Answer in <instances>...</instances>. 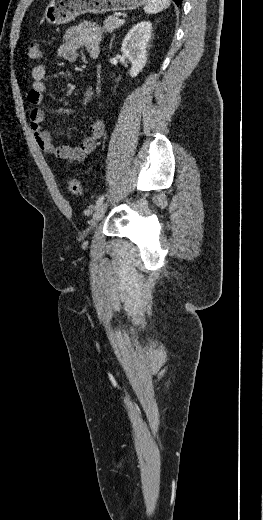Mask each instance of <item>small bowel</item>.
Here are the masks:
<instances>
[{
	"label": "small bowel",
	"mask_w": 263,
	"mask_h": 520,
	"mask_svg": "<svg viewBox=\"0 0 263 520\" xmlns=\"http://www.w3.org/2000/svg\"><path fill=\"white\" fill-rule=\"evenodd\" d=\"M100 28L91 22L70 27L66 30L62 43L58 47V56L66 61L74 62L78 59L79 50L84 48L90 57L95 58L99 55ZM33 85L29 90L27 99L32 106L30 116V127L35 140L40 149L56 158L68 163L83 161L88 155L94 152L98 139L104 131V123L97 119L88 128L87 135L83 141L74 146L56 145L50 131L43 127L45 120L44 110L41 105L44 102L46 92L47 69L45 65H36L32 69ZM93 95L92 88L86 87L85 103H88Z\"/></svg>",
	"instance_id": "c3829d8e"
}]
</instances>
